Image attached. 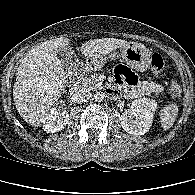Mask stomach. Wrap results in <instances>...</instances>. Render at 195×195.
I'll list each match as a JSON object with an SVG mask.
<instances>
[{"label": "stomach", "mask_w": 195, "mask_h": 195, "mask_svg": "<svg viewBox=\"0 0 195 195\" xmlns=\"http://www.w3.org/2000/svg\"><path fill=\"white\" fill-rule=\"evenodd\" d=\"M121 57L124 62L131 68L143 72L148 69L151 63V53L140 43L131 42L127 46L121 47ZM116 52L110 54V58L114 57ZM106 58H91L89 60L90 66L94 70L100 69L105 63Z\"/></svg>", "instance_id": "stomach-1"}]
</instances>
